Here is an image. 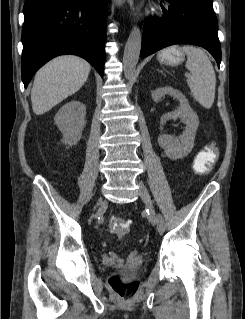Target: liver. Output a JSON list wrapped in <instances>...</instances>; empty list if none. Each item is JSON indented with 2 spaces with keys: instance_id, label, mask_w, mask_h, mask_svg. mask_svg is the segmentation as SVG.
I'll return each instance as SVG.
<instances>
[{
  "instance_id": "1",
  "label": "liver",
  "mask_w": 245,
  "mask_h": 319,
  "mask_svg": "<svg viewBox=\"0 0 245 319\" xmlns=\"http://www.w3.org/2000/svg\"><path fill=\"white\" fill-rule=\"evenodd\" d=\"M90 64L84 59L66 55L53 59L35 75L31 90L32 109L42 115L76 93L86 82Z\"/></svg>"
}]
</instances>
